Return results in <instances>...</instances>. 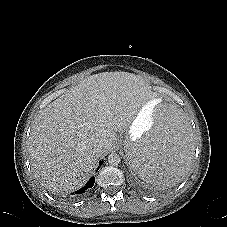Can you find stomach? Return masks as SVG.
<instances>
[{"instance_id": "1", "label": "stomach", "mask_w": 227, "mask_h": 227, "mask_svg": "<svg viewBox=\"0 0 227 227\" xmlns=\"http://www.w3.org/2000/svg\"><path fill=\"white\" fill-rule=\"evenodd\" d=\"M157 118V112L154 109V101L150 100L139 109L132 123L126 130V139L124 141L125 149L129 143L143 138L148 129L156 122Z\"/></svg>"}]
</instances>
